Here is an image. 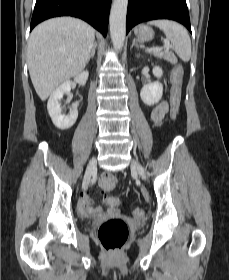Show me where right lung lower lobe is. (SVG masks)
<instances>
[{"label":"right lung lower lobe","instance_id":"right-lung-lower-lobe-1","mask_svg":"<svg viewBox=\"0 0 229 280\" xmlns=\"http://www.w3.org/2000/svg\"><path fill=\"white\" fill-rule=\"evenodd\" d=\"M111 0H37L30 30L38 23L57 16L78 17L107 34Z\"/></svg>","mask_w":229,"mask_h":280}]
</instances>
